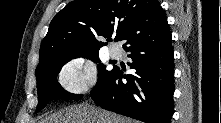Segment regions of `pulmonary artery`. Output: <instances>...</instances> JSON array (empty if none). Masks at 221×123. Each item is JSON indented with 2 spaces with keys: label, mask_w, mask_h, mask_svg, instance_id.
Listing matches in <instances>:
<instances>
[{
  "label": "pulmonary artery",
  "mask_w": 221,
  "mask_h": 123,
  "mask_svg": "<svg viewBox=\"0 0 221 123\" xmlns=\"http://www.w3.org/2000/svg\"><path fill=\"white\" fill-rule=\"evenodd\" d=\"M109 53H110L111 57L114 59H118L121 57V50L117 47H111L109 49Z\"/></svg>",
  "instance_id": "pulmonary-artery-1"
}]
</instances>
